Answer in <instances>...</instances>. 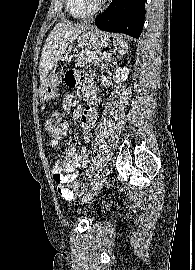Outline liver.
Masks as SVG:
<instances>
[{
    "label": "liver",
    "instance_id": "6515ba94",
    "mask_svg": "<svg viewBox=\"0 0 195 270\" xmlns=\"http://www.w3.org/2000/svg\"><path fill=\"white\" fill-rule=\"evenodd\" d=\"M90 26L86 23H58L50 32L43 47L40 59V82L46 81L50 70L55 67L66 49L82 32Z\"/></svg>",
    "mask_w": 195,
    "mask_h": 270
}]
</instances>
